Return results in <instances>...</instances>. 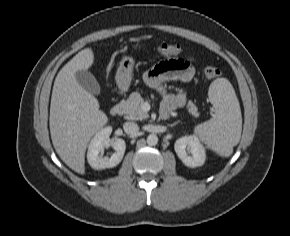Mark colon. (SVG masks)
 I'll return each mask as SVG.
<instances>
[{"label": "colon", "mask_w": 290, "mask_h": 236, "mask_svg": "<svg viewBox=\"0 0 290 236\" xmlns=\"http://www.w3.org/2000/svg\"><path fill=\"white\" fill-rule=\"evenodd\" d=\"M182 46L178 43H164L158 47V52L162 57H174L181 53ZM205 76L209 79L220 76L221 71L216 66H207L204 70Z\"/></svg>", "instance_id": "1"}]
</instances>
